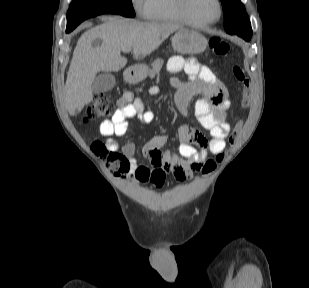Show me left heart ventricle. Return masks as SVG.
I'll list each match as a JSON object with an SVG mask.
<instances>
[{
    "label": "left heart ventricle",
    "instance_id": "left-heart-ventricle-1",
    "mask_svg": "<svg viewBox=\"0 0 309 288\" xmlns=\"http://www.w3.org/2000/svg\"><path fill=\"white\" fill-rule=\"evenodd\" d=\"M188 11L197 21L213 20L218 15L216 0H188Z\"/></svg>",
    "mask_w": 309,
    "mask_h": 288
}]
</instances>
